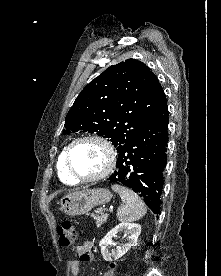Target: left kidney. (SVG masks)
I'll return each instance as SVG.
<instances>
[{"instance_id":"left-kidney-1","label":"left kidney","mask_w":221,"mask_h":276,"mask_svg":"<svg viewBox=\"0 0 221 276\" xmlns=\"http://www.w3.org/2000/svg\"><path fill=\"white\" fill-rule=\"evenodd\" d=\"M124 232L127 236L128 243L122 247L117 246L116 250L109 251L108 246L113 244L112 238L116 237L117 233ZM141 233V226L137 223H127L123 222L118 224L112 230H110L106 236L101 240L99 246L101 247V253L106 261H111L112 259H119L132 247L137 245L138 237Z\"/></svg>"}]
</instances>
